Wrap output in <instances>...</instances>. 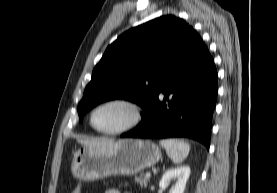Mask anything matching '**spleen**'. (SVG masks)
Instances as JSON below:
<instances>
[{
  "label": "spleen",
  "instance_id": "1",
  "mask_svg": "<svg viewBox=\"0 0 277 193\" xmlns=\"http://www.w3.org/2000/svg\"><path fill=\"white\" fill-rule=\"evenodd\" d=\"M160 145L165 148L174 163H181L190 151V145L178 139H164L160 141Z\"/></svg>",
  "mask_w": 277,
  "mask_h": 193
}]
</instances>
